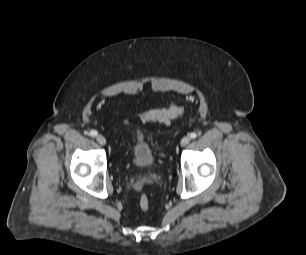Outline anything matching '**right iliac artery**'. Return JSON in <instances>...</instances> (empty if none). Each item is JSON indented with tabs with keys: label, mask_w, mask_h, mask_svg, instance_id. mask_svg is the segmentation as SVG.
Returning <instances> with one entry per match:
<instances>
[{
	"label": "right iliac artery",
	"mask_w": 306,
	"mask_h": 255,
	"mask_svg": "<svg viewBox=\"0 0 306 255\" xmlns=\"http://www.w3.org/2000/svg\"><path fill=\"white\" fill-rule=\"evenodd\" d=\"M90 136H92V137L97 136V131L91 130V131H90Z\"/></svg>",
	"instance_id": "right-iliac-artery-1"
}]
</instances>
